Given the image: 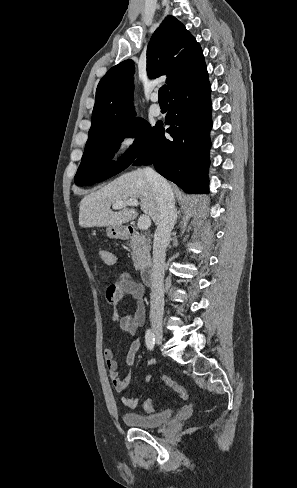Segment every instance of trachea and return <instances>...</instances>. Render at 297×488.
<instances>
[{
  "mask_svg": "<svg viewBox=\"0 0 297 488\" xmlns=\"http://www.w3.org/2000/svg\"><path fill=\"white\" fill-rule=\"evenodd\" d=\"M158 95L160 104H168V87L166 85L159 89Z\"/></svg>",
  "mask_w": 297,
  "mask_h": 488,
  "instance_id": "1",
  "label": "trachea"
}]
</instances>
